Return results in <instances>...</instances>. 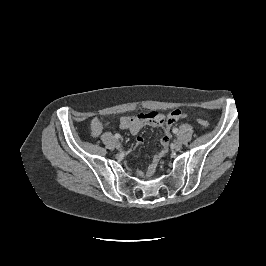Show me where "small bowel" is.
Segmentation results:
<instances>
[{
  "label": "small bowel",
  "instance_id": "small-bowel-1",
  "mask_svg": "<svg viewBox=\"0 0 266 266\" xmlns=\"http://www.w3.org/2000/svg\"><path fill=\"white\" fill-rule=\"evenodd\" d=\"M186 114L180 109H174L166 115L158 111L141 112L135 116H125L120 119L119 126L121 129L128 130L131 134L136 135L144 126L160 127L164 135L161 139L162 151L154 156L148 168V173H152L159 159L166 152L170 141V129L180 119L185 118ZM103 123L100 119L94 118L91 121L90 129L94 137L101 135ZM137 144H141L143 139L137 137Z\"/></svg>",
  "mask_w": 266,
  "mask_h": 266
}]
</instances>
